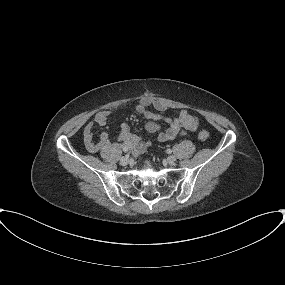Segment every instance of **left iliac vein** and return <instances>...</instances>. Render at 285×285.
<instances>
[{
  "label": "left iliac vein",
  "mask_w": 285,
  "mask_h": 285,
  "mask_svg": "<svg viewBox=\"0 0 285 285\" xmlns=\"http://www.w3.org/2000/svg\"><path fill=\"white\" fill-rule=\"evenodd\" d=\"M167 161H168L169 164H174L175 161H176V157L175 156H169L167 158Z\"/></svg>",
  "instance_id": "4c4485c4"
}]
</instances>
